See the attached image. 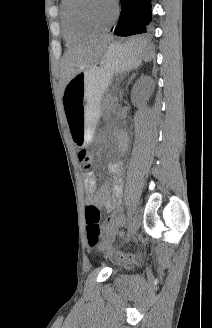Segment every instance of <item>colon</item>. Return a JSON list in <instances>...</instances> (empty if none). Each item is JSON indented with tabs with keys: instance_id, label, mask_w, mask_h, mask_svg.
Wrapping results in <instances>:
<instances>
[{
	"instance_id": "5ec220e1",
	"label": "colon",
	"mask_w": 212,
	"mask_h": 328,
	"mask_svg": "<svg viewBox=\"0 0 212 328\" xmlns=\"http://www.w3.org/2000/svg\"><path fill=\"white\" fill-rule=\"evenodd\" d=\"M79 162L81 163L80 168L81 170H92V157L90 153L86 149H82L79 152ZM86 215V233H87V242L91 248H99L104 249L105 245L101 241V233L99 227V220H100V212L99 210L93 206L88 205L85 209ZM119 259L121 260H133L134 258L131 256H127L124 254L119 255Z\"/></svg>"
}]
</instances>
